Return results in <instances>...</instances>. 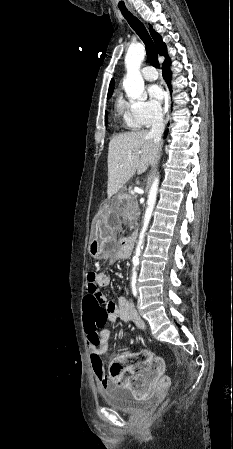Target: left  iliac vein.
<instances>
[{"label":"left iliac vein","instance_id":"obj_1","mask_svg":"<svg viewBox=\"0 0 233 449\" xmlns=\"http://www.w3.org/2000/svg\"><path fill=\"white\" fill-rule=\"evenodd\" d=\"M139 304H140V296H139V298H138V306H139Z\"/></svg>","mask_w":233,"mask_h":449}]
</instances>
